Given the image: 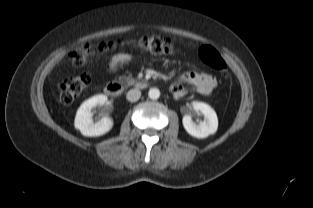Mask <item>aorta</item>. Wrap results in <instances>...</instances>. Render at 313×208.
I'll use <instances>...</instances> for the list:
<instances>
[{"mask_svg": "<svg viewBox=\"0 0 313 208\" xmlns=\"http://www.w3.org/2000/svg\"><path fill=\"white\" fill-rule=\"evenodd\" d=\"M148 96L152 100H156L160 96V91L158 88H151L148 92Z\"/></svg>", "mask_w": 313, "mask_h": 208, "instance_id": "1", "label": "aorta"}]
</instances>
